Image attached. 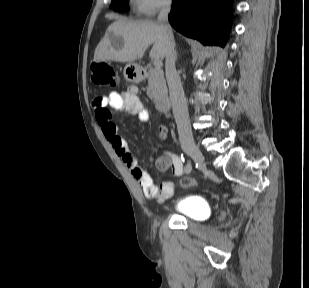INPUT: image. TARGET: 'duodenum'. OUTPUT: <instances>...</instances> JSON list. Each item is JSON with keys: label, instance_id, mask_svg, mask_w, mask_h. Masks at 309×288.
Wrapping results in <instances>:
<instances>
[{"label": "duodenum", "instance_id": "410a0bca", "mask_svg": "<svg viewBox=\"0 0 309 288\" xmlns=\"http://www.w3.org/2000/svg\"><path fill=\"white\" fill-rule=\"evenodd\" d=\"M159 109L162 112H167L169 107H170V100L167 97H164L162 99L159 100Z\"/></svg>", "mask_w": 309, "mask_h": 288}]
</instances>
